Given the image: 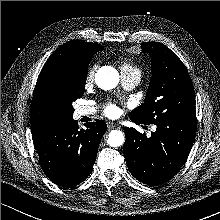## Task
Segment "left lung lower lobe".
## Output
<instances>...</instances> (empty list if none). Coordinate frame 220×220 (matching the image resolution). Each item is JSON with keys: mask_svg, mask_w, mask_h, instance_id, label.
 <instances>
[{"mask_svg": "<svg viewBox=\"0 0 220 220\" xmlns=\"http://www.w3.org/2000/svg\"><path fill=\"white\" fill-rule=\"evenodd\" d=\"M154 124L157 129L149 138L134 128L124 127L123 148L128 169L137 180L148 185L163 184L178 173L188 158L197 129V121L178 117Z\"/></svg>", "mask_w": 220, "mask_h": 220, "instance_id": "obj_1", "label": "left lung lower lobe"}]
</instances>
